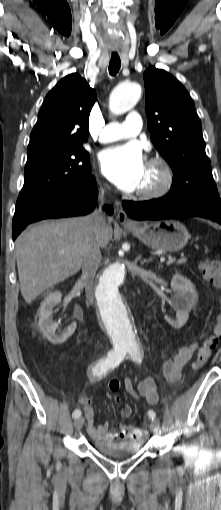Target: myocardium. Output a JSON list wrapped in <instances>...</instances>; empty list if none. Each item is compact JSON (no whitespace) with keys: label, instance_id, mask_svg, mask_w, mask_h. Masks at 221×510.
<instances>
[{"label":"myocardium","instance_id":"myocardium-1","mask_svg":"<svg viewBox=\"0 0 221 510\" xmlns=\"http://www.w3.org/2000/svg\"><path fill=\"white\" fill-rule=\"evenodd\" d=\"M147 165L157 167L161 173L160 183L152 189L138 190L136 196L145 200L159 199L167 195L173 186V171L171 166L162 156L151 157Z\"/></svg>","mask_w":221,"mask_h":510}]
</instances>
